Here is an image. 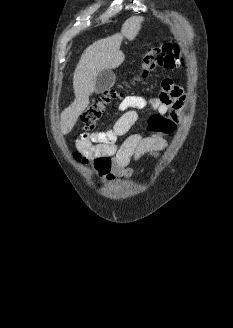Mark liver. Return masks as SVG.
<instances>
[{"label": "liver", "instance_id": "1", "mask_svg": "<svg viewBox=\"0 0 233 328\" xmlns=\"http://www.w3.org/2000/svg\"><path fill=\"white\" fill-rule=\"evenodd\" d=\"M141 21L138 17L127 20L120 33L100 39L84 50L73 74L74 102L61 113L60 128L64 135L72 130L79 115L89 105L97 75L123 63L125 56L120 50L123 37L133 40L140 30Z\"/></svg>", "mask_w": 233, "mask_h": 328}]
</instances>
